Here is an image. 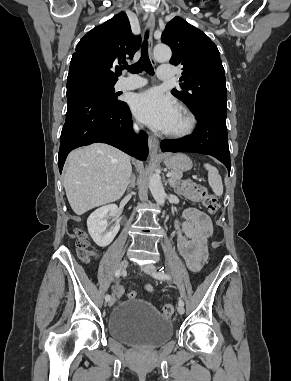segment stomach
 <instances>
[{
	"label": "stomach",
	"instance_id": "1",
	"mask_svg": "<svg viewBox=\"0 0 291 381\" xmlns=\"http://www.w3.org/2000/svg\"><path fill=\"white\" fill-rule=\"evenodd\" d=\"M164 164L172 171L184 172L192 168V160L183 153L165 155Z\"/></svg>",
	"mask_w": 291,
	"mask_h": 381
}]
</instances>
